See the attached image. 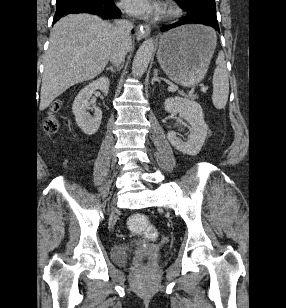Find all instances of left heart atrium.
I'll use <instances>...</instances> for the list:
<instances>
[{
	"instance_id": "39dd6f15",
	"label": "left heart atrium",
	"mask_w": 286,
	"mask_h": 308,
	"mask_svg": "<svg viewBox=\"0 0 286 308\" xmlns=\"http://www.w3.org/2000/svg\"><path fill=\"white\" fill-rule=\"evenodd\" d=\"M122 7L138 17H147L159 12V6L153 0H122Z\"/></svg>"
}]
</instances>
